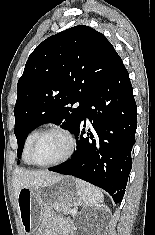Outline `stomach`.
Instances as JSON below:
<instances>
[{
	"label": "stomach",
	"instance_id": "stomach-1",
	"mask_svg": "<svg viewBox=\"0 0 155 235\" xmlns=\"http://www.w3.org/2000/svg\"><path fill=\"white\" fill-rule=\"evenodd\" d=\"M81 202V191L75 179L69 176H61L46 186L21 188L17 195V207L25 234L45 235L39 230L45 207L69 209Z\"/></svg>",
	"mask_w": 155,
	"mask_h": 235
}]
</instances>
